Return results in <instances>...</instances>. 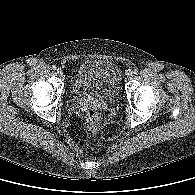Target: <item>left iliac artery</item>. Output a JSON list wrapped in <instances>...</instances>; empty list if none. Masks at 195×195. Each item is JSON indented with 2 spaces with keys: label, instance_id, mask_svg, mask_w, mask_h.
Segmentation results:
<instances>
[{
  "label": "left iliac artery",
  "instance_id": "obj_1",
  "mask_svg": "<svg viewBox=\"0 0 195 195\" xmlns=\"http://www.w3.org/2000/svg\"><path fill=\"white\" fill-rule=\"evenodd\" d=\"M132 73H133V74H137V73H138V70L135 69Z\"/></svg>",
  "mask_w": 195,
  "mask_h": 195
}]
</instances>
